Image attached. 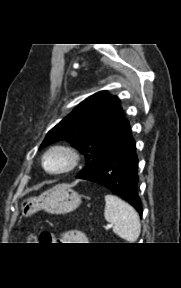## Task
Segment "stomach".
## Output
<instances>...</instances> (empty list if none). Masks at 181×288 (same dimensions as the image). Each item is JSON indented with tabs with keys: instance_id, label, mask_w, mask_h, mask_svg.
I'll use <instances>...</instances> for the list:
<instances>
[{
	"instance_id": "stomach-1",
	"label": "stomach",
	"mask_w": 181,
	"mask_h": 288,
	"mask_svg": "<svg viewBox=\"0 0 181 288\" xmlns=\"http://www.w3.org/2000/svg\"><path fill=\"white\" fill-rule=\"evenodd\" d=\"M81 204V196L69 185L59 184L38 197L24 199L21 203V214L29 217L39 210L51 214H66L74 211Z\"/></svg>"
}]
</instances>
